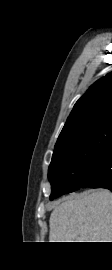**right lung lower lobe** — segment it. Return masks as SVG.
Listing matches in <instances>:
<instances>
[{
    "label": "right lung lower lobe",
    "mask_w": 112,
    "mask_h": 270,
    "mask_svg": "<svg viewBox=\"0 0 112 270\" xmlns=\"http://www.w3.org/2000/svg\"><path fill=\"white\" fill-rule=\"evenodd\" d=\"M81 187L106 188L112 191V143L100 158L89 165Z\"/></svg>",
    "instance_id": "1"
}]
</instances>
